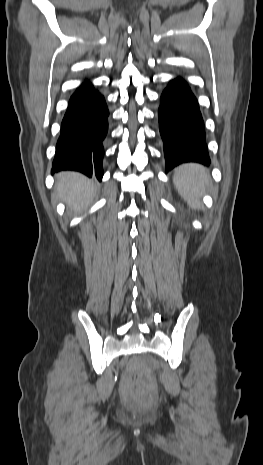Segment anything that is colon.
I'll list each match as a JSON object with an SVG mask.
<instances>
[{
    "mask_svg": "<svg viewBox=\"0 0 263 465\" xmlns=\"http://www.w3.org/2000/svg\"><path fill=\"white\" fill-rule=\"evenodd\" d=\"M137 396L145 404H151L153 396L150 393V384L142 376L136 378Z\"/></svg>",
    "mask_w": 263,
    "mask_h": 465,
    "instance_id": "obj_1",
    "label": "colon"
}]
</instances>
